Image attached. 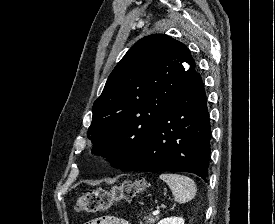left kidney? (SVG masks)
Here are the masks:
<instances>
[{
  "instance_id": "obj_1",
  "label": "left kidney",
  "mask_w": 275,
  "mask_h": 224,
  "mask_svg": "<svg viewBox=\"0 0 275 224\" xmlns=\"http://www.w3.org/2000/svg\"><path fill=\"white\" fill-rule=\"evenodd\" d=\"M157 224H184V219L180 217H170L160 220Z\"/></svg>"
}]
</instances>
